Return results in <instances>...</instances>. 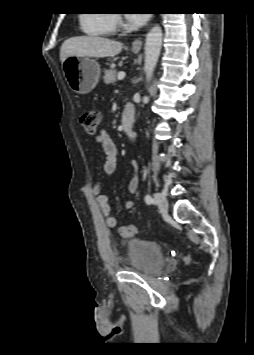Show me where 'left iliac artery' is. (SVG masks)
<instances>
[{
    "mask_svg": "<svg viewBox=\"0 0 254 355\" xmlns=\"http://www.w3.org/2000/svg\"><path fill=\"white\" fill-rule=\"evenodd\" d=\"M145 202H146L147 204H152V203H153L152 197H151L150 195H146V196H145Z\"/></svg>",
    "mask_w": 254,
    "mask_h": 355,
    "instance_id": "44dca946",
    "label": "left iliac artery"
}]
</instances>
